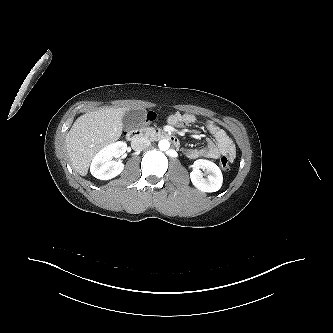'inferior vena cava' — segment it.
<instances>
[{"label":"inferior vena cava","instance_id":"1","mask_svg":"<svg viewBox=\"0 0 333 333\" xmlns=\"http://www.w3.org/2000/svg\"><path fill=\"white\" fill-rule=\"evenodd\" d=\"M151 144L150 140L144 137L136 138L132 141L131 146L134 150H143L149 147Z\"/></svg>","mask_w":333,"mask_h":333}]
</instances>
